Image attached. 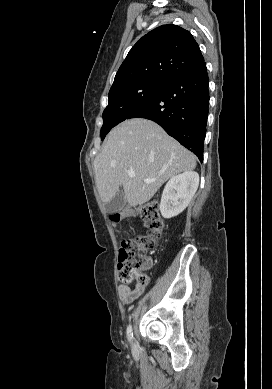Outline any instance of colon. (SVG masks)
I'll use <instances>...</instances> for the list:
<instances>
[{
  "mask_svg": "<svg viewBox=\"0 0 272 389\" xmlns=\"http://www.w3.org/2000/svg\"><path fill=\"white\" fill-rule=\"evenodd\" d=\"M133 214L142 220L146 232L133 240L122 243L119 250L118 268L122 282H136L137 285L145 286L148 282V277L144 272L146 254L153 251L161 240L164 222L159 207L154 202L136 208ZM121 217L122 215L115 214L113 220L118 222Z\"/></svg>",
  "mask_w": 272,
  "mask_h": 389,
  "instance_id": "colon-1",
  "label": "colon"
}]
</instances>
